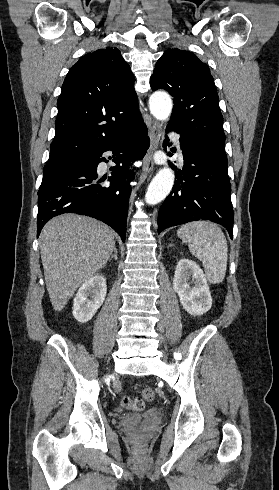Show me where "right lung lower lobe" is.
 I'll list each match as a JSON object with an SVG mask.
<instances>
[{
	"mask_svg": "<svg viewBox=\"0 0 279 490\" xmlns=\"http://www.w3.org/2000/svg\"><path fill=\"white\" fill-rule=\"evenodd\" d=\"M149 145L145 124L135 126L81 159L80 165L42 181L38 191L37 236L54 216L77 213L103 221L117 231L124 242L130 182L134 177L130 165L143 158ZM106 151L115 154L112 161L116 166L111 169L109 183H102L106 177L98 178L97 166L101 161H107L102 157Z\"/></svg>",
	"mask_w": 279,
	"mask_h": 490,
	"instance_id": "1",
	"label": "right lung lower lobe"
}]
</instances>
